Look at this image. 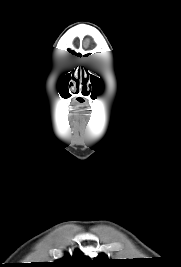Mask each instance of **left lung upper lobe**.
Instances as JSON below:
<instances>
[{
  "label": "left lung upper lobe",
  "instance_id": "5c2ea615",
  "mask_svg": "<svg viewBox=\"0 0 181 267\" xmlns=\"http://www.w3.org/2000/svg\"><path fill=\"white\" fill-rule=\"evenodd\" d=\"M95 262L100 266V267H110L118 264L116 260L109 259L105 254H100L96 259Z\"/></svg>",
  "mask_w": 181,
  "mask_h": 267
}]
</instances>
